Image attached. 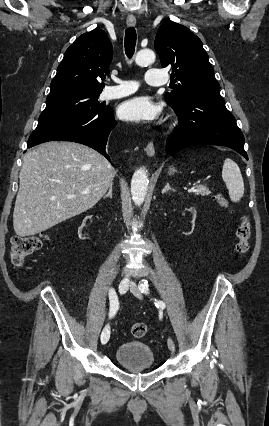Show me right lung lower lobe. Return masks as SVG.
I'll list each match as a JSON object with an SVG mask.
<instances>
[{"instance_id":"1","label":"right lung lower lobe","mask_w":269,"mask_h":426,"mask_svg":"<svg viewBox=\"0 0 269 426\" xmlns=\"http://www.w3.org/2000/svg\"><path fill=\"white\" fill-rule=\"evenodd\" d=\"M116 124L112 108L103 107L102 111L96 113L36 129L30 135L27 147L52 140L72 141L95 149L110 161L106 144Z\"/></svg>"}]
</instances>
